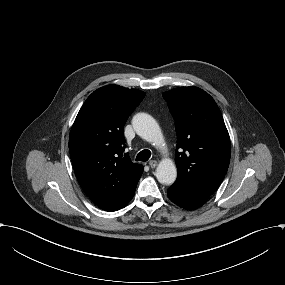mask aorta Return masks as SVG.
Segmentation results:
<instances>
[{"instance_id": "1", "label": "aorta", "mask_w": 285, "mask_h": 285, "mask_svg": "<svg viewBox=\"0 0 285 285\" xmlns=\"http://www.w3.org/2000/svg\"><path fill=\"white\" fill-rule=\"evenodd\" d=\"M132 125L141 138L158 148H165L164 137L156 120L146 113H138L132 119ZM156 178L161 184L171 185L177 178V168L171 159H163L157 169Z\"/></svg>"}]
</instances>
